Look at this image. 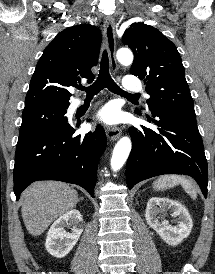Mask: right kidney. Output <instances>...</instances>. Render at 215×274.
Returning a JSON list of instances; mask_svg holds the SVG:
<instances>
[{
  "instance_id": "1",
  "label": "right kidney",
  "mask_w": 215,
  "mask_h": 274,
  "mask_svg": "<svg viewBox=\"0 0 215 274\" xmlns=\"http://www.w3.org/2000/svg\"><path fill=\"white\" fill-rule=\"evenodd\" d=\"M71 227V233L65 231V227ZM83 232V218L76 209L70 210L60 216L50 227L45 247L54 257L66 256L77 243Z\"/></svg>"
}]
</instances>
